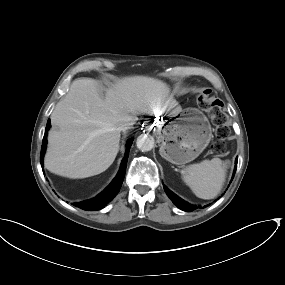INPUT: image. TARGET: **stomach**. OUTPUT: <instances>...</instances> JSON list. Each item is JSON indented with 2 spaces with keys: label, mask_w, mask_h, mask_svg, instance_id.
<instances>
[{
  "label": "stomach",
  "mask_w": 285,
  "mask_h": 285,
  "mask_svg": "<svg viewBox=\"0 0 285 285\" xmlns=\"http://www.w3.org/2000/svg\"><path fill=\"white\" fill-rule=\"evenodd\" d=\"M156 134L161 142L160 155L175 165L193 161L212 138L207 117L195 108L164 116L157 121Z\"/></svg>",
  "instance_id": "1"
}]
</instances>
